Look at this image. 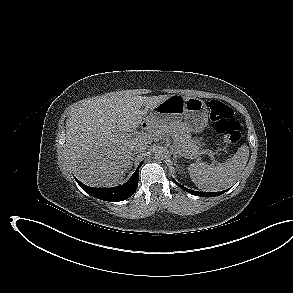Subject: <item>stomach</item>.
Instances as JSON below:
<instances>
[{
	"label": "stomach",
	"mask_w": 293,
	"mask_h": 293,
	"mask_svg": "<svg viewBox=\"0 0 293 293\" xmlns=\"http://www.w3.org/2000/svg\"><path fill=\"white\" fill-rule=\"evenodd\" d=\"M208 116L209 109L203 100L176 94L152 108L147 120L152 126L184 120L190 132L199 133L207 126ZM194 142L198 147L203 145L202 138H197Z\"/></svg>",
	"instance_id": "obj_1"
}]
</instances>
